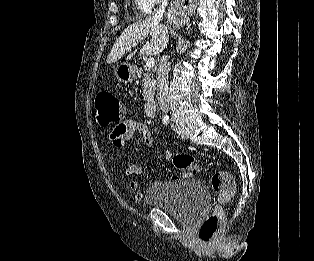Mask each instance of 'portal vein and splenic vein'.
Listing matches in <instances>:
<instances>
[{
    "mask_svg": "<svg viewBox=\"0 0 314 261\" xmlns=\"http://www.w3.org/2000/svg\"><path fill=\"white\" fill-rule=\"evenodd\" d=\"M136 45H137V43H134V44L130 45L129 47H127V50H131L132 47H134ZM154 65H155V59L152 58V57L148 58L147 61H146V67L153 68Z\"/></svg>",
    "mask_w": 314,
    "mask_h": 261,
    "instance_id": "18ae733b",
    "label": "portal vein and splenic vein"
}]
</instances>
